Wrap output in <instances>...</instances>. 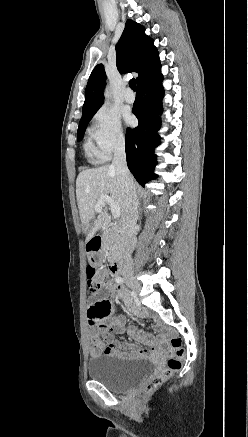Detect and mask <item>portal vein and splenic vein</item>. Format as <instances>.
<instances>
[{"label":"portal vein and splenic vein","instance_id":"portal-vein-and-splenic-vein-1","mask_svg":"<svg viewBox=\"0 0 248 437\" xmlns=\"http://www.w3.org/2000/svg\"><path fill=\"white\" fill-rule=\"evenodd\" d=\"M105 203L109 204L112 215L114 218H119L121 210L117 204L114 203V201L109 196H100L98 199V202L96 206L94 207L95 212L100 213L103 209V206Z\"/></svg>","mask_w":248,"mask_h":437}]
</instances>
